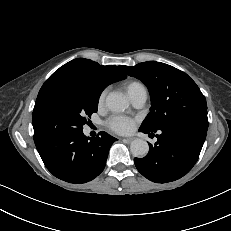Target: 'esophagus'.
<instances>
[{"mask_svg": "<svg viewBox=\"0 0 231 231\" xmlns=\"http://www.w3.org/2000/svg\"><path fill=\"white\" fill-rule=\"evenodd\" d=\"M135 138L134 137H128V138H124L123 141H126L128 143L132 142Z\"/></svg>", "mask_w": 231, "mask_h": 231, "instance_id": "obj_1", "label": "esophagus"}]
</instances>
